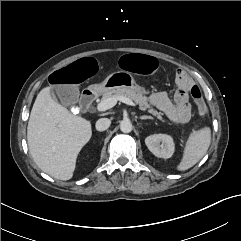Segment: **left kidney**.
Instances as JSON below:
<instances>
[{
  "mask_svg": "<svg viewBox=\"0 0 241 241\" xmlns=\"http://www.w3.org/2000/svg\"><path fill=\"white\" fill-rule=\"evenodd\" d=\"M145 144L156 157L168 159L174 153V142L171 136L153 134L145 139Z\"/></svg>",
  "mask_w": 241,
  "mask_h": 241,
  "instance_id": "left-kidney-1",
  "label": "left kidney"
}]
</instances>
